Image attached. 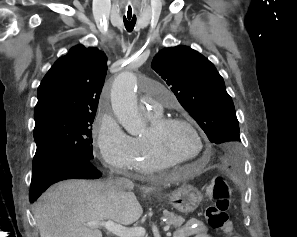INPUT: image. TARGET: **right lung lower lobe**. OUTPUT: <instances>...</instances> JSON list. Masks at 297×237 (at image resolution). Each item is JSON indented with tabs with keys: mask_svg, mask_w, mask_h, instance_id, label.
<instances>
[{
	"mask_svg": "<svg viewBox=\"0 0 297 237\" xmlns=\"http://www.w3.org/2000/svg\"><path fill=\"white\" fill-rule=\"evenodd\" d=\"M101 172L89 159L61 156L48 161L37 174H32L30 201H35L52 184L67 179H98Z\"/></svg>",
	"mask_w": 297,
	"mask_h": 237,
	"instance_id": "1",
	"label": "right lung lower lobe"
}]
</instances>
